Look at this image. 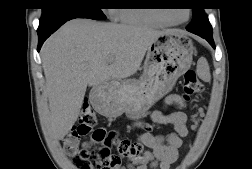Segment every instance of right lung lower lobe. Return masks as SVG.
<instances>
[{"instance_id":"98d812e1","label":"right lung lower lobe","mask_w":252,"mask_h":169,"mask_svg":"<svg viewBox=\"0 0 252 169\" xmlns=\"http://www.w3.org/2000/svg\"><path fill=\"white\" fill-rule=\"evenodd\" d=\"M77 17H66V18H60L57 20H54L52 22H49L47 24L39 25L38 27V37H39V45H38V51L40 50L43 42L53 33L55 32L60 26H62L65 22L74 19Z\"/></svg>"}]
</instances>
